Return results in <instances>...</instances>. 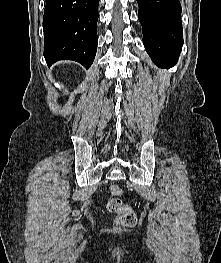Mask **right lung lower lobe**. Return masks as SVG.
<instances>
[{"label": "right lung lower lobe", "instance_id": "1", "mask_svg": "<svg viewBox=\"0 0 221 263\" xmlns=\"http://www.w3.org/2000/svg\"><path fill=\"white\" fill-rule=\"evenodd\" d=\"M44 57L48 65L74 60L89 68L97 51L99 0H45Z\"/></svg>", "mask_w": 221, "mask_h": 263}]
</instances>
